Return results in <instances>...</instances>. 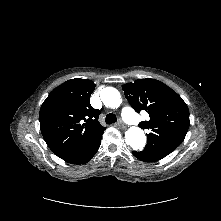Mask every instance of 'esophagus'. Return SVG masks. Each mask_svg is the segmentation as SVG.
Here are the masks:
<instances>
[{
    "instance_id": "34e87169",
    "label": "esophagus",
    "mask_w": 221,
    "mask_h": 221,
    "mask_svg": "<svg viewBox=\"0 0 221 221\" xmlns=\"http://www.w3.org/2000/svg\"><path fill=\"white\" fill-rule=\"evenodd\" d=\"M117 126L121 129H125L126 128V125L121 121L119 120V122L117 123Z\"/></svg>"
}]
</instances>
